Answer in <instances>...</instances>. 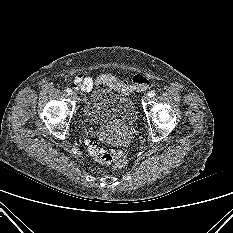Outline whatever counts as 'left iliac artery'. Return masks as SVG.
Masks as SVG:
<instances>
[{
  "mask_svg": "<svg viewBox=\"0 0 233 233\" xmlns=\"http://www.w3.org/2000/svg\"><path fill=\"white\" fill-rule=\"evenodd\" d=\"M156 95V92L154 90L150 91L148 93V96L151 98V97H154Z\"/></svg>",
  "mask_w": 233,
  "mask_h": 233,
  "instance_id": "left-iliac-artery-1",
  "label": "left iliac artery"
}]
</instances>
